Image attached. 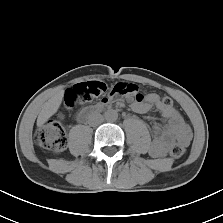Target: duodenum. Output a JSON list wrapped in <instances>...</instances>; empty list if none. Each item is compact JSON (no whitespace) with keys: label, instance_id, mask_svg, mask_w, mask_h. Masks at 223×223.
Wrapping results in <instances>:
<instances>
[{"label":"duodenum","instance_id":"duodenum-1","mask_svg":"<svg viewBox=\"0 0 223 223\" xmlns=\"http://www.w3.org/2000/svg\"><path fill=\"white\" fill-rule=\"evenodd\" d=\"M105 106H97V107H94V108H92V109H87V110H85V111H83L82 113H81V115H80V117L82 118V119H87L90 115H92L93 113H95V112H98V111H100L101 109H103Z\"/></svg>","mask_w":223,"mask_h":223}]
</instances>
